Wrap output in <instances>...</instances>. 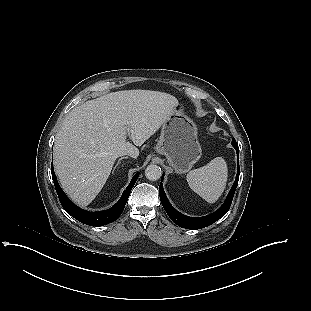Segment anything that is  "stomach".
<instances>
[{"mask_svg": "<svg viewBox=\"0 0 311 311\" xmlns=\"http://www.w3.org/2000/svg\"><path fill=\"white\" fill-rule=\"evenodd\" d=\"M156 152L164 155L176 173H186L201 157L195 123L177 105L173 114L162 124Z\"/></svg>", "mask_w": 311, "mask_h": 311, "instance_id": "1", "label": "stomach"}]
</instances>
